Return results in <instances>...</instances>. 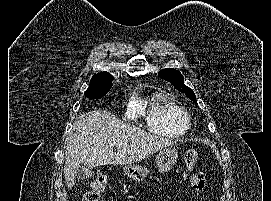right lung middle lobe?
Masks as SVG:
<instances>
[{"label":"right lung middle lobe","mask_w":271,"mask_h":201,"mask_svg":"<svg viewBox=\"0 0 271 201\" xmlns=\"http://www.w3.org/2000/svg\"><path fill=\"white\" fill-rule=\"evenodd\" d=\"M113 77L92 78L85 96L92 99L103 97L112 87Z\"/></svg>","instance_id":"obj_1"}]
</instances>
